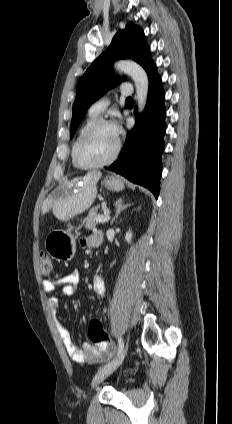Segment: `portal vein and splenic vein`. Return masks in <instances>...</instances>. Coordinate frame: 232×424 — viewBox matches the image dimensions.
<instances>
[{
	"mask_svg": "<svg viewBox=\"0 0 232 424\" xmlns=\"http://www.w3.org/2000/svg\"><path fill=\"white\" fill-rule=\"evenodd\" d=\"M110 220V214L108 212H105L103 216H98L96 218V221L99 223H104Z\"/></svg>",
	"mask_w": 232,
	"mask_h": 424,
	"instance_id": "portal-vein-and-splenic-vein-1",
	"label": "portal vein and splenic vein"
}]
</instances>
